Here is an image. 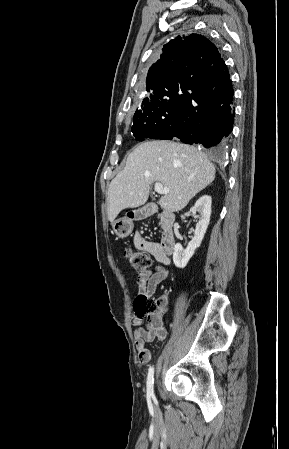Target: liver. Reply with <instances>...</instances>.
Wrapping results in <instances>:
<instances>
[{
  "label": "liver",
  "instance_id": "liver-1",
  "mask_svg": "<svg viewBox=\"0 0 289 449\" xmlns=\"http://www.w3.org/2000/svg\"><path fill=\"white\" fill-rule=\"evenodd\" d=\"M215 173L214 165L194 146L171 141L142 143L109 185L108 219L113 225L122 210L144 205L154 182L169 189L159 200L161 208L178 212L215 179Z\"/></svg>",
  "mask_w": 289,
  "mask_h": 449
}]
</instances>
